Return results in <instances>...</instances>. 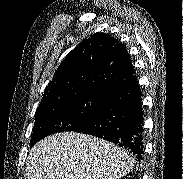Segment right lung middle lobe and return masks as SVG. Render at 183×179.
Masks as SVG:
<instances>
[{"label":"right lung middle lobe","instance_id":"dd1d6c3e","mask_svg":"<svg viewBox=\"0 0 183 179\" xmlns=\"http://www.w3.org/2000/svg\"><path fill=\"white\" fill-rule=\"evenodd\" d=\"M102 98V94H89L39 106L31 145L54 133L79 130L95 115Z\"/></svg>","mask_w":183,"mask_h":179}]
</instances>
